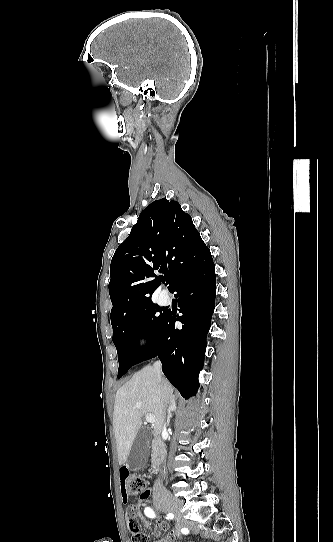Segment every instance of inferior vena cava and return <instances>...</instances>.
Segmentation results:
<instances>
[{
	"instance_id": "obj_1",
	"label": "inferior vena cava",
	"mask_w": 333,
	"mask_h": 542,
	"mask_svg": "<svg viewBox=\"0 0 333 542\" xmlns=\"http://www.w3.org/2000/svg\"><path fill=\"white\" fill-rule=\"evenodd\" d=\"M153 368L155 370V372H158V374H162V364L161 362H155V364H153ZM160 488H162V482L160 480V478H158V480H156V482H154V492H158V490H160Z\"/></svg>"
}]
</instances>
